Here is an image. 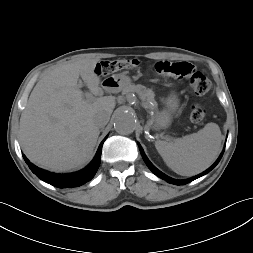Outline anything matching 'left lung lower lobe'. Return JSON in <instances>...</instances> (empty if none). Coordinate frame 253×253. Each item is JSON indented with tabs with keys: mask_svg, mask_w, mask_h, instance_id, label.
<instances>
[{
	"mask_svg": "<svg viewBox=\"0 0 253 253\" xmlns=\"http://www.w3.org/2000/svg\"><path fill=\"white\" fill-rule=\"evenodd\" d=\"M139 148H140V152H141V155L145 161V163L147 164V166L149 167V169L156 175L158 176L159 178L163 179V180H166L168 183L170 184H175V185H185L205 174H207L208 172H210L220 161L223 153H224V149L222 151V153L220 154L219 158L216 160V162L210 167L208 168L206 171L202 172L201 174L195 176V177H192L190 179H186V180H177V179H173L167 175H165L164 173H162L161 171H159L150 161L149 159L146 157L142 147L139 145Z\"/></svg>",
	"mask_w": 253,
	"mask_h": 253,
	"instance_id": "obj_1",
	"label": "left lung lower lobe"
}]
</instances>
